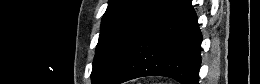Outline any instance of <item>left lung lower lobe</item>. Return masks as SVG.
Here are the masks:
<instances>
[{"label": "left lung lower lobe", "instance_id": "0a47b994", "mask_svg": "<svg viewBox=\"0 0 260 84\" xmlns=\"http://www.w3.org/2000/svg\"><path fill=\"white\" fill-rule=\"evenodd\" d=\"M202 35L190 0H159L117 58L103 84L167 76L199 84Z\"/></svg>", "mask_w": 260, "mask_h": 84}]
</instances>
